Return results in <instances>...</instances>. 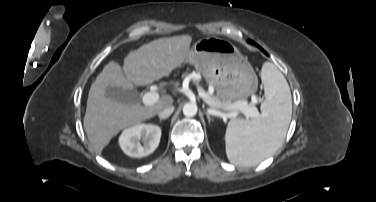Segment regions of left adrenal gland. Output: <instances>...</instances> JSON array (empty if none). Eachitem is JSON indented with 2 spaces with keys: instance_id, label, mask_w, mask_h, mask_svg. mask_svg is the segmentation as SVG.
Returning a JSON list of instances; mask_svg holds the SVG:
<instances>
[{
  "instance_id": "a2214340",
  "label": "left adrenal gland",
  "mask_w": 376,
  "mask_h": 202,
  "mask_svg": "<svg viewBox=\"0 0 376 202\" xmlns=\"http://www.w3.org/2000/svg\"><path fill=\"white\" fill-rule=\"evenodd\" d=\"M205 114L207 116V119H208V122L210 123L211 122V117H210V114L208 112L205 111Z\"/></svg>"
}]
</instances>
